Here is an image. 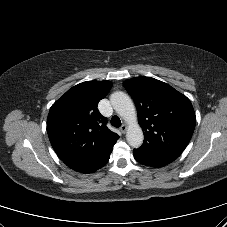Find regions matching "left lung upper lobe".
<instances>
[{
    "instance_id": "left-lung-upper-lobe-1",
    "label": "left lung upper lobe",
    "mask_w": 227,
    "mask_h": 227,
    "mask_svg": "<svg viewBox=\"0 0 227 227\" xmlns=\"http://www.w3.org/2000/svg\"><path fill=\"white\" fill-rule=\"evenodd\" d=\"M137 107L144 132L141 148L180 156L196 124L190 100L170 85L151 77H136L123 83Z\"/></svg>"
}]
</instances>
